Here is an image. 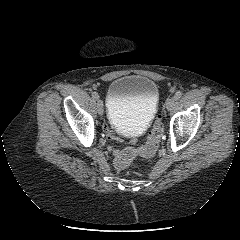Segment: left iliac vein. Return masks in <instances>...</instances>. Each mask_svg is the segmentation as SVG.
<instances>
[{"label":"left iliac vein","mask_w":240,"mask_h":240,"mask_svg":"<svg viewBox=\"0 0 240 240\" xmlns=\"http://www.w3.org/2000/svg\"><path fill=\"white\" fill-rule=\"evenodd\" d=\"M175 105V100L173 98H168L166 100V108L168 111H171Z\"/></svg>","instance_id":"left-iliac-vein-1"}]
</instances>
